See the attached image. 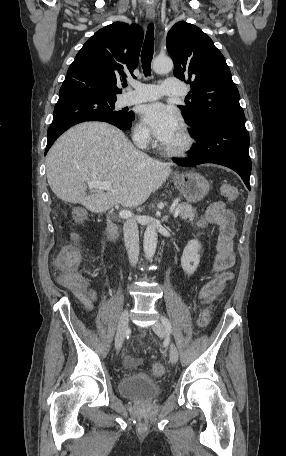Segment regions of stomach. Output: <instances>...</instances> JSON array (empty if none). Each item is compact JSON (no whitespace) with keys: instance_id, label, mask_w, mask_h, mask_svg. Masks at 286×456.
Wrapping results in <instances>:
<instances>
[{"instance_id":"obj_1","label":"stomach","mask_w":286,"mask_h":456,"mask_svg":"<svg viewBox=\"0 0 286 456\" xmlns=\"http://www.w3.org/2000/svg\"><path fill=\"white\" fill-rule=\"evenodd\" d=\"M173 180L180 193L189 203H197L204 199L210 188L208 181L195 172L176 175Z\"/></svg>"}]
</instances>
